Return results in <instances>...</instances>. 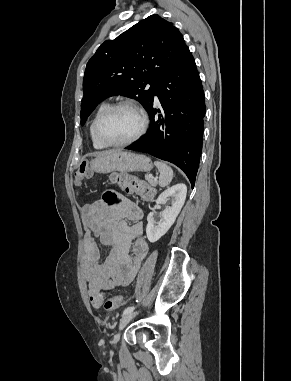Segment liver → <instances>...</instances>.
Masks as SVG:
<instances>
[{
	"label": "liver",
	"instance_id": "liver-1",
	"mask_svg": "<svg viewBox=\"0 0 291 381\" xmlns=\"http://www.w3.org/2000/svg\"><path fill=\"white\" fill-rule=\"evenodd\" d=\"M113 152H116V151H106V152H101V153H99V155L110 154V153H113Z\"/></svg>",
	"mask_w": 291,
	"mask_h": 381
}]
</instances>
